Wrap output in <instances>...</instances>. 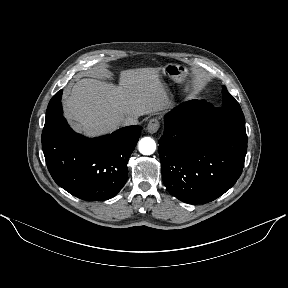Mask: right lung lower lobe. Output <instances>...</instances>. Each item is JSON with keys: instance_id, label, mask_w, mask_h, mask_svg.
Segmentation results:
<instances>
[{"instance_id": "obj_1", "label": "right lung lower lobe", "mask_w": 288, "mask_h": 288, "mask_svg": "<svg viewBox=\"0 0 288 288\" xmlns=\"http://www.w3.org/2000/svg\"><path fill=\"white\" fill-rule=\"evenodd\" d=\"M62 90L50 100L42 132V148L54 181L83 200L114 197L125 185L127 163L141 127L128 126L88 139L74 133L63 117Z\"/></svg>"}]
</instances>
